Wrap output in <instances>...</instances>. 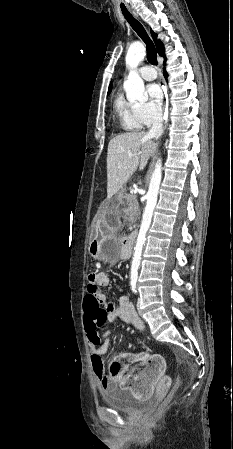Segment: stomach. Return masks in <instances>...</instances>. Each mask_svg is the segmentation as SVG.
<instances>
[{
    "mask_svg": "<svg viewBox=\"0 0 233 449\" xmlns=\"http://www.w3.org/2000/svg\"><path fill=\"white\" fill-rule=\"evenodd\" d=\"M121 197V194L114 197V200ZM100 210L104 212H95L94 219L97 229L96 240H92L89 245V253L98 260L109 263H115L119 259L120 246L117 238L113 235L112 227H118V221H121L120 201H100Z\"/></svg>",
    "mask_w": 233,
    "mask_h": 449,
    "instance_id": "obj_1",
    "label": "stomach"
}]
</instances>
